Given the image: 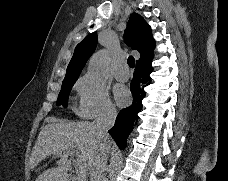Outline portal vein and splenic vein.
I'll return each instance as SVG.
<instances>
[{
  "label": "portal vein and splenic vein",
  "instance_id": "18ae733b",
  "mask_svg": "<svg viewBox=\"0 0 228 181\" xmlns=\"http://www.w3.org/2000/svg\"><path fill=\"white\" fill-rule=\"evenodd\" d=\"M66 155L67 157L68 155H78V151H67ZM78 173L80 177H86L88 173V165H78Z\"/></svg>",
  "mask_w": 228,
  "mask_h": 181
}]
</instances>
